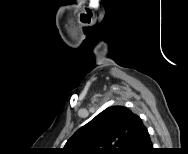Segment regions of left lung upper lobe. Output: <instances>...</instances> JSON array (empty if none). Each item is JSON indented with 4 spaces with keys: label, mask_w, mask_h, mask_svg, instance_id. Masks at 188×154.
<instances>
[{
    "label": "left lung upper lobe",
    "mask_w": 188,
    "mask_h": 154,
    "mask_svg": "<svg viewBox=\"0 0 188 154\" xmlns=\"http://www.w3.org/2000/svg\"><path fill=\"white\" fill-rule=\"evenodd\" d=\"M135 116L124 106H111L77 130L64 150L71 154H127Z\"/></svg>",
    "instance_id": "obj_1"
}]
</instances>
